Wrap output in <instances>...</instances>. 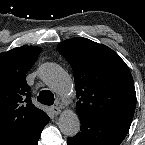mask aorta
<instances>
[{
    "instance_id": "762f6f07",
    "label": "aorta",
    "mask_w": 145,
    "mask_h": 145,
    "mask_svg": "<svg viewBox=\"0 0 145 145\" xmlns=\"http://www.w3.org/2000/svg\"><path fill=\"white\" fill-rule=\"evenodd\" d=\"M39 77L59 95H68L72 91L71 78L55 63L43 64L39 71ZM58 125L60 131L68 137L75 136L81 126L77 113L73 111H64L59 117Z\"/></svg>"
}]
</instances>
